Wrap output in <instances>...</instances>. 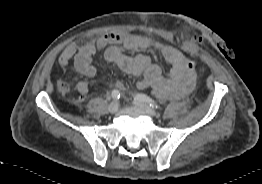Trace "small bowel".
I'll list each match as a JSON object with an SVG mask.
<instances>
[{
	"instance_id": "c3829d8e",
	"label": "small bowel",
	"mask_w": 262,
	"mask_h": 184,
	"mask_svg": "<svg viewBox=\"0 0 262 184\" xmlns=\"http://www.w3.org/2000/svg\"><path fill=\"white\" fill-rule=\"evenodd\" d=\"M190 41L194 45L204 46L207 43V38L204 35L193 33L190 36ZM147 48L158 49L163 58L171 64L166 76L148 56L139 53ZM102 50H104V57L109 63L116 65L125 73L142 76L136 82V87L139 90L151 88L157 97L167 98L186 95L193 89L189 92L183 89L188 58L176 48L146 36L108 33L95 41H88L80 47L67 46L59 56L58 62L65 66L73 61L75 69L80 74L93 77L97 71L92 65V57ZM194 73L196 80V72ZM77 90L79 92L78 103H82L88 92L87 83L85 81L78 82Z\"/></svg>"
}]
</instances>
